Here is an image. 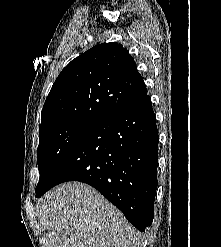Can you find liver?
I'll list each match as a JSON object with an SVG mask.
<instances>
[{
	"mask_svg": "<svg viewBox=\"0 0 221 247\" xmlns=\"http://www.w3.org/2000/svg\"><path fill=\"white\" fill-rule=\"evenodd\" d=\"M36 211L49 247H139L123 214L86 184L57 186L38 200Z\"/></svg>",
	"mask_w": 221,
	"mask_h": 247,
	"instance_id": "6515ba94",
	"label": "liver"
}]
</instances>
